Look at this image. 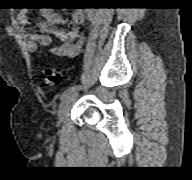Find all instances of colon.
<instances>
[{
	"mask_svg": "<svg viewBox=\"0 0 192 180\" xmlns=\"http://www.w3.org/2000/svg\"><path fill=\"white\" fill-rule=\"evenodd\" d=\"M44 83L48 86L59 84L61 76L60 73L52 66H45L42 70Z\"/></svg>",
	"mask_w": 192,
	"mask_h": 180,
	"instance_id": "5ec220e1",
	"label": "colon"
}]
</instances>
